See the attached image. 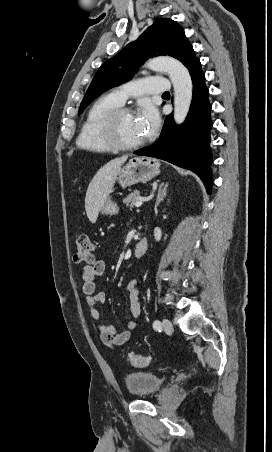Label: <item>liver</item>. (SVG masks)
<instances>
[{
	"label": "liver",
	"mask_w": 272,
	"mask_h": 452,
	"mask_svg": "<svg viewBox=\"0 0 272 452\" xmlns=\"http://www.w3.org/2000/svg\"><path fill=\"white\" fill-rule=\"evenodd\" d=\"M128 156H122L111 160L101 167L91 180L85 197V210L91 223H95L99 211L113 191L114 183Z\"/></svg>",
	"instance_id": "6515ba94"
}]
</instances>
